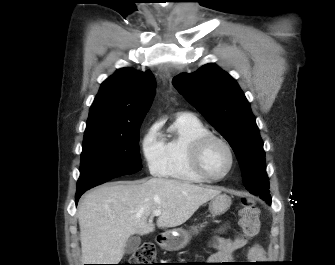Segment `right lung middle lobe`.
Here are the masks:
<instances>
[{
    "label": "right lung middle lobe",
    "mask_w": 335,
    "mask_h": 265,
    "mask_svg": "<svg viewBox=\"0 0 335 265\" xmlns=\"http://www.w3.org/2000/svg\"><path fill=\"white\" fill-rule=\"evenodd\" d=\"M140 124L121 132L97 131L84 135L77 192L142 168L138 144Z\"/></svg>",
    "instance_id": "right-lung-middle-lobe-1"
}]
</instances>
